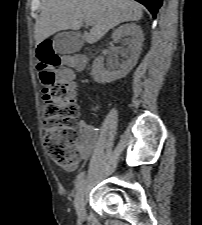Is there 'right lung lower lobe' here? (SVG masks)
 Returning <instances> with one entry per match:
<instances>
[{
    "label": "right lung lower lobe",
    "mask_w": 202,
    "mask_h": 225,
    "mask_svg": "<svg viewBox=\"0 0 202 225\" xmlns=\"http://www.w3.org/2000/svg\"><path fill=\"white\" fill-rule=\"evenodd\" d=\"M136 1L146 6V8L151 12L154 18L156 17L157 11L163 2V0H136Z\"/></svg>",
    "instance_id": "1"
}]
</instances>
